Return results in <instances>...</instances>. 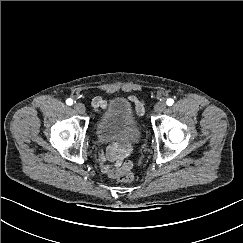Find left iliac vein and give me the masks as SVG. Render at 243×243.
<instances>
[{
    "instance_id": "obj_1",
    "label": "left iliac vein",
    "mask_w": 243,
    "mask_h": 243,
    "mask_svg": "<svg viewBox=\"0 0 243 243\" xmlns=\"http://www.w3.org/2000/svg\"><path fill=\"white\" fill-rule=\"evenodd\" d=\"M166 109V104L165 102H158L155 107H154V110L156 113H161L163 112L164 110Z\"/></svg>"
}]
</instances>
